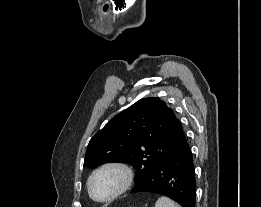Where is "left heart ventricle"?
<instances>
[{
  "label": "left heart ventricle",
  "instance_id": "1",
  "mask_svg": "<svg viewBox=\"0 0 261 207\" xmlns=\"http://www.w3.org/2000/svg\"><path fill=\"white\" fill-rule=\"evenodd\" d=\"M122 175L116 170H104L92 180V193L97 199H105L112 195L121 185Z\"/></svg>",
  "mask_w": 261,
  "mask_h": 207
}]
</instances>
